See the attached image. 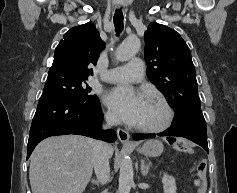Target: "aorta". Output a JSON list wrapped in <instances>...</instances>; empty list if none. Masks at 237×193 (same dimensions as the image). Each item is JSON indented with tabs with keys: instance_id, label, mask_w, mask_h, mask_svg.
<instances>
[{
	"instance_id": "762f6f07",
	"label": "aorta",
	"mask_w": 237,
	"mask_h": 193,
	"mask_svg": "<svg viewBox=\"0 0 237 193\" xmlns=\"http://www.w3.org/2000/svg\"><path fill=\"white\" fill-rule=\"evenodd\" d=\"M140 40L136 36L126 38L116 50V58L119 61H127L132 58L140 48ZM133 165L129 157L125 156L120 165L118 193H130L133 184Z\"/></svg>"
}]
</instances>
